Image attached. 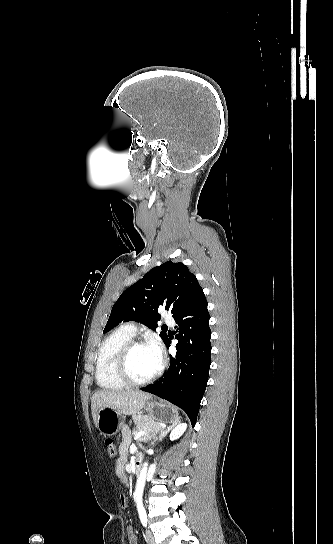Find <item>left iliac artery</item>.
Masks as SVG:
<instances>
[{"mask_svg":"<svg viewBox=\"0 0 333 544\" xmlns=\"http://www.w3.org/2000/svg\"><path fill=\"white\" fill-rule=\"evenodd\" d=\"M139 517H140V520H141V523L143 524V526H147V514H146V511L145 510H140L139 511Z\"/></svg>","mask_w":333,"mask_h":544,"instance_id":"left-iliac-artery-1","label":"left iliac artery"}]
</instances>
